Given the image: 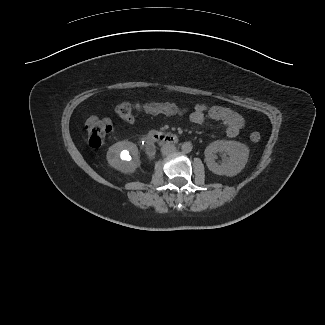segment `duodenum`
Listing matches in <instances>:
<instances>
[{
    "label": "duodenum",
    "mask_w": 325,
    "mask_h": 325,
    "mask_svg": "<svg viewBox=\"0 0 325 325\" xmlns=\"http://www.w3.org/2000/svg\"><path fill=\"white\" fill-rule=\"evenodd\" d=\"M147 139L161 144L174 145L178 142V135L171 132H151Z\"/></svg>",
    "instance_id": "duodenum-1"
}]
</instances>
